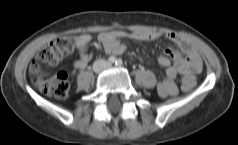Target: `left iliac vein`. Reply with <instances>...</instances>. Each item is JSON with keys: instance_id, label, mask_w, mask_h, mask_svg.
I'll return each mask as SVG.
<instances>
[{"instance_id": "4c4485c4", "label": "left iliac vein", "mask_w": 238, "mask_h": 145, "mask_svg": "<svg viewBox=\"0 0 238 145\" xmlns=\"http://www.w3.org/2000/svg\"><path fill=\"white\" fill-rule=\"evenodd\" d=\"M111 66V64H109V63H107L106 65H105V67H107V68H109Z\"/></svg>"}]
</instances>
